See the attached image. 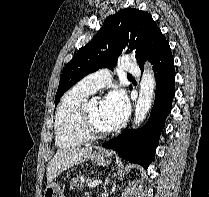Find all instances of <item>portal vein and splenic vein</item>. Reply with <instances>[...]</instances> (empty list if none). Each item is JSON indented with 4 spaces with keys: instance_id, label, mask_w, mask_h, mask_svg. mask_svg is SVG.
I'll use <instances>...</instances> for the list:
<instances>
[{
    "instance_id": "obj_1",
    "label": "portal vein and splenic vein",
    "mask_w": 209,
    "mask_h": 197,
    "mask_svg": "<svg viewBox=\"0 0 209 197\" xmlns=\"http://www.w3.org/2000/svg\"><path fill=\"white\" fill-rule=\"evenodd\" d=\"M101 183H102L101 180H95V181L88 183V187L93 188V187L100 185Z\"/></svg>"
}]
</instances>
